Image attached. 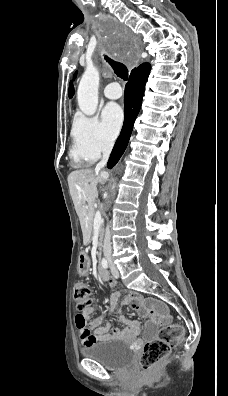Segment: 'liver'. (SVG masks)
<instances>
[{"instance_id": "1", "label": "liver", "mask_w": 228, "mask_h": 396, "mask_svg": "<svg viewBox=\"0 0 228 396\" xmlns=\"http://www.w3.org/2000/svg\"><path fill=\"white\" fill-rule=\"evenodd\" d=\"M108 173L102 175L97 170L81 169L71 172L68 185L76 213L79 217L84 235V242L90 235V220L94 214V204L98 196L97 184L108 178Z\"/></svg>"}]
</instances>
